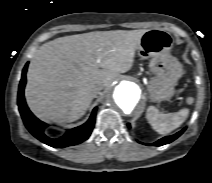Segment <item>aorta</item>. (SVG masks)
I'll use <instances>...</instances> for the list:
<instances>
[{
  "mask_svg": "<svg viewBox=\"0 0 212 183\" xmlns=\"http://www.w3.org/2000/svg\"><path fill=\"white\" fill-rule=\"evenodd\" d=\"M140 87L131 81H121L113 89L111 103L125 114H130L140 101Z\"/></svg>",
  "mask_w": 212,
  "mask_h": 183,
  "instance_id": "aorta-1",
  "label": "aorta"
}]
</instances>
